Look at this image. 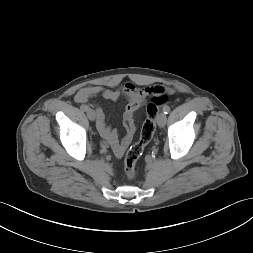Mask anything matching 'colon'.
<instances>
[{
  "mask_svg": "<svg viewBox=\"0 0 253 253\" xmlns=\"http://www.w3.org/2000/svg\"><path fill=\"white\" fill-rule=\"evenodd\" d=\"M152 95L151 102L147 106V116L142 125L139 140L129 148L124 157V171L126 176L130 179L135 177L136 163L145 146L153 138L158 111L167 101L169 91L162 86H156Z\"/></svg>",
  "mask_w": 253,
  "mask_h": 253,
  "instance_id": "5ec220e1",
  "label": "colon"
}]
</instances>
